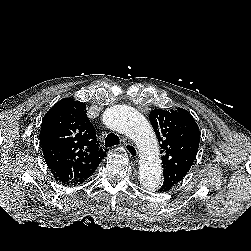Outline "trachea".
I'll return each instance as SVG.
<instances>
[{"label": "trachea", "mask_w": 251, "mask_h": 251, "mask_svg": "<svg viewBox=\"0 0 251 251\" xmlns=\"http://www.w3.org/2000/svg\"><path fill=\"white\" fill-rule=\"evenodd\" d=\"M119 141L120 139L116 134L110 133L107 135L105 139V147H112V146L118 145Z\"/></svg>", "instance_id": "trachea-1"}]
</instances>
